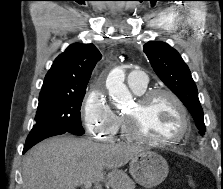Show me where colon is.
<instances>
[{
  "instance_id": "obj_1",
  "label": "colon",
  "mask_w": 223,
  "mask_h": 189,
  "mask_svg": "<svg viewBox=\"0 0 223 189\" xmlns=\"http://www.w3.org/2000/svg\"><path fill=\"white\" fill-rule=\"evenodd\" d=\"M189 183H190V185H191L192 187L195 186V182H194V180H193L191 177L189 178Z\"/></svg>"
}]
</instances>
